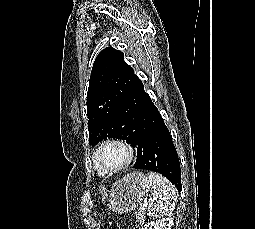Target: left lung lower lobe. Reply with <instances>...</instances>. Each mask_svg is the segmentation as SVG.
<instances>
[{"label":"left lung lower lobe","mask_w":255,"mask_h":229,"mask_svg":"<svg viewBox=\"0 0 255 229\" xmlns=\"http://www.w3.org/2000/svg\"><path fill=\"white\" fill-rule=\"evenodd\" d=\"M118 118L123 119V131L131 136L132 145L137 148L134 168L158 172L181 191V170L176 148L158 109L144 91L138 76H135L130 86Z\"/></svg>","instance_id":"1"}]
</instances>
